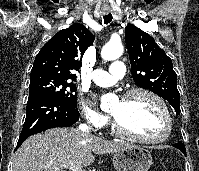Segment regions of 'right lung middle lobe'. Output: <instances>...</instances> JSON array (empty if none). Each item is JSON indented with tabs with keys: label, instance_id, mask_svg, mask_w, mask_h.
<instances>
[{
	"label": "right lung middle lobe",
	"instance_id": "obj_1",
	"mask_svg": "<svg viewBox=\"0 0 199 171\" xmlns=\"http://www.w3.org/2000/svg\"><path fill=\"white\" fill-rule=\"evenodd\" d=\"M76 91V86L66 79L49 75H39L30 78L29 95L36 92H47L74 108L77 107Z\"/></svg>",
	"mask_w": 199,
	"mask_h": 171
}]
</instances>
